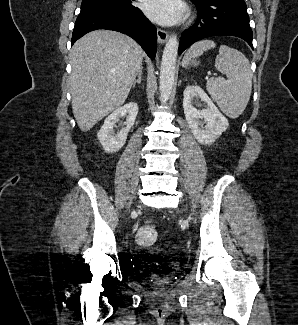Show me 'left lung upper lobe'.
Instances as JSON below:
<instances>
[{
  "instance_id": "obj_1",
  "label": "left lung upper lobe",
  "mask_w": 298,
  "mask_h": 325,
  "mask_svg": "<svg viewBox=\"0 0 298 325\" xmlns=\"http://www.w3.org/2000/svg\"><path fill=\"white\" fill-rule=\"evenodd\" d=\"M193 3H201L203 2L204 0H191Z\"/></svg>"
}]
</instances>
